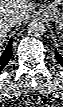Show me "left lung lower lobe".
<instances>
[{
  "instance_id": "1",
  "label": "left lung lower lobe",
  "mask_w": 63,
  "mask_h": 107,
  "mask_svg": "<svg viewBox=\"0 0 63 107\" xmlns=\"http://www.w3.org/2000/svg\"><path fill=\"white\" fill-rule=\"evenodd\" d=\"M55 57L58 63L63 67V56H61L55 49Z\"/></svg>"
}]
</instances>
